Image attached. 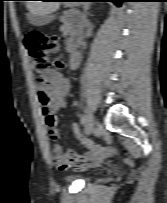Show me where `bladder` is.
<instances>
[{
  "instance_id": "31cf9c89",
  "label": "bladder",
  "mask_w": 167,
  "mask_h": 203,
  "mask_svg": "<svg viewBox=\"0 0 167 203\" xmlns=\"http://www.w3.org/2000/svg\"><path fill=\"white\" fill-rule=\"evenodd\" d=\"M95 176L92 174H87V175H78V174H71V175H66L63 177L64 181H72L76 179H93Z\"/></svg>"
}]
</instances>
